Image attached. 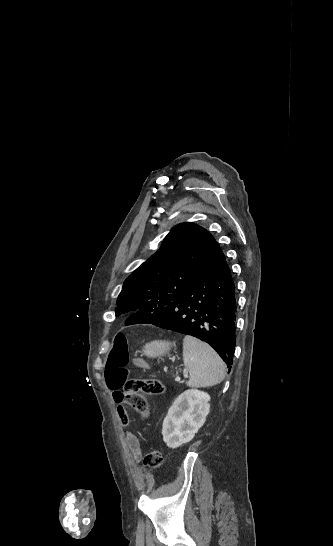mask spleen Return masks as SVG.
Listing matches in <instances>:
<instances>
[{
  "label": "spleen",
  "instance_id": "obj_1",
  "mask_svg": "<svg viewBox=\"0 0 333 546\" xmlns=\"http://www.w3.org/2000/svg\"><path fill=\"white\" fill-rule=\"evenodd\" d=\"M183 360L185 370L189 373L188 386H213L225 378L226 366L223 360L208 344L195 337H184Z\"/></svg>",
  "mask_w": 333,
  "mask_h": 546
}]
</instances>
